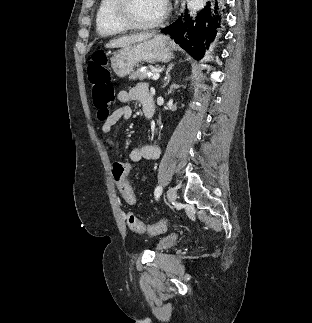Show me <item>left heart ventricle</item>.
Masks as SVG:
<instances>
[{
	"mask_svg": "<svg viewBox=\"0 0 312 323\" xmlns=\"http://www.w3.org/2000/svg\"><path fill=\"white\" fill-rule=\"evenodd\" d=\"M123 4L125 14L139 22H152L153 18H159V9H163L162 0H123Z\"/></svg>",
	"mask_w": 312,
	"mask_h": 323,
	"instance_id": "b2bd125f",
	"label": "left heart ventricle"
}]
</instances>
